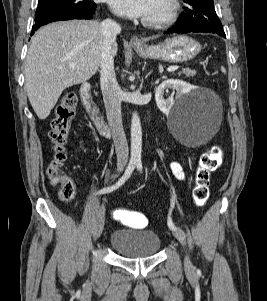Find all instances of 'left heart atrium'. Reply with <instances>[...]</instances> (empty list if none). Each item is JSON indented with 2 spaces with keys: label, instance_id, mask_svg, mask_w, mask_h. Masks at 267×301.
Listing matches in <instances>:
<instances>
[{
  "label": "left heart atrium",
  "instance_id": "1",
  "mask_svg": "<svg viewBox=\"0 0 267 301\" xmlns=\"http://www.w3.org/2000/svg\"><path fill=\"white\" fill-rule=\"evenodd\" d=\"M152 0H108L114 13L125 18L146 17Z\"/></svg>",
  "mask_w": 267,
  "mask_h": 301
}]
</instances>
